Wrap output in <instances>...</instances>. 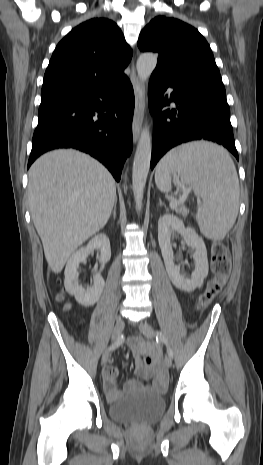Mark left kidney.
I'll return each instance as SVG.
<instances>
[{"mask_svg": "<svg viewBox=\"0 0 263 465\" xmlns=\"http://www.w3.org/2000/svg\"><path fill=\"white\" fill-rule=\"evenodd\" d=\"M174 232L180 234L188 246L194 249L193 258L195 270L191 278L180 272V266L174 263L171 236ZM158 242L161 248L166 271L172 283L179 289L192 292L200 288L208 275L207 250L203 239L191 227H185L178 217L165 214L158 221Z\"/></svg>", "mask_w": 263, "mask_h": 465, "instance_id": "obj_1", "label": "left kidney"}]
</instances>
